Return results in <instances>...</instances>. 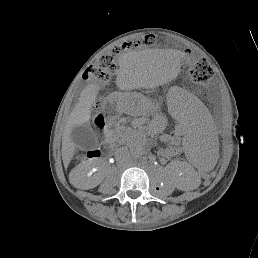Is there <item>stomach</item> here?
<instances>
[{"label":"stomach","instance_id":"0dacf381","mask_svg":"<svg viewBox=\"0 0 258 258\" xmlns=\"http://www.w3.org/2000/svg\"><path fill=\"white\" fill-rule=\"evenodd\" d=\"M123 99H125V100H127V99H128L127 94H123Z\"/></svg>","mask_w":258,"mask_h":258}]
</instances>
